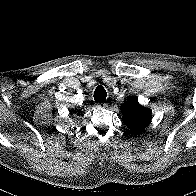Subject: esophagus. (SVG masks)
<instances>
[{
  "mask_svg": "<svg viewBox=\"0 0 196 196\" xmlns=\"http://www.w3.org/2000/svg\"><path fill=\"white\" fill-rule=\"evenodd\" d=\"M97 106H98V107H101V108H102V107L104 108V107H106L107 105H106V103L98 102V103H97Z\"/></svg>",
  "mask_w": 196,
  "mask_h": 196,
  "instance_id": "obj_1",
  "label": "esophagus"
}]
</instances>
